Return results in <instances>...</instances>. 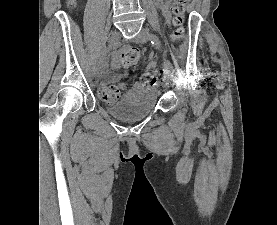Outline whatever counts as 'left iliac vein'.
<instances>
[{"label":"left iliac vein","mask_w":277,"mask_h":225,"mask_svg":"<svg viewBox=\"0 0 277 225\" xmlns=\"http://www.w3.org/2000/svg\"><path fill=\"white\" fill-rule=\"evenodd\" d=\"M149 39V31L147 28L141 29L140 33L134 38L136 43H146ZM167 80L171 83L175 82L174 75H167Z\"/></svg>","instance_id":"4c4485c4"}]
</instances>
